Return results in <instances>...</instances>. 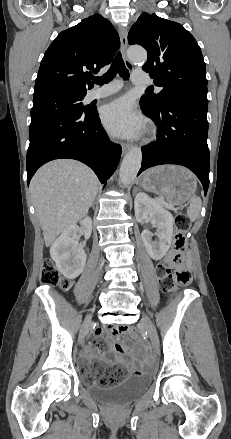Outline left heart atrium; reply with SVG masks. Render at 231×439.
Segmentation results:
<instances>
[{
  "label": "left heart atrium",
  "instance_id": "39dd6f15",
  "mask_svg": "<svg viewBox=\"0 0 231 439\" xmlns=\"http://www.w3.org/2000/svg\"><path fill=\"white\" fill-rule=\"evenodd\" d=\"M101 120L107 130L118 137H136L144 127V121L135 111L133 102L126 97L105 105L101 111Z\"/></svg>",
  "mask_w": 231,
  "mask_h": 439
}]
</instances>
